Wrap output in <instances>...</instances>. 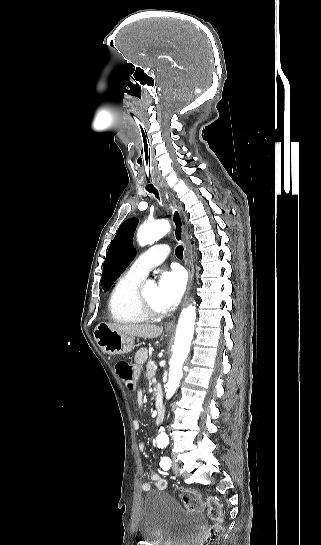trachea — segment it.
<instances>
[{
    "mask_svg": "<svg viewBox=\"0 0 321 545\" xmlns=\"http://www.w3.org/2000/svg\"><path fill=\"white\" fill-rule=\"evenodd\" d=\"M131 117L134 119L136 116L133 114ZM135 124H136V126H138L137 128H138L139 133L142 134L141 138L143 139L142 142L144 143V145H143L144 146V150H143L144 152H143V155H142L143 159H144L143 161H144V167H145L144 168V173L145 174H150L151 173V168L153 167V161L154 160H153V157H152L153 156L152 152H151V150L149 148L150 145L146 141L149 138L148 135H147L148 133L145 130L144 125H142L141 121L138 120V121H136ZM146 180H147L146 189L148 191H150V192H153L158 197V192L154 188V185H155L154 182L156 180L155 177L150 175V176L147 177ZM183 250L184 249H183V247L181 245L176 248L175 254H176V256L178 258L183 257Z\"/></svg>",
    "mask_w": 321,
    "mask_h": 545,
    "instance_id": "3493384b",
    "label": "trachea"
}]
</instances>
